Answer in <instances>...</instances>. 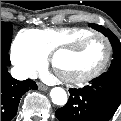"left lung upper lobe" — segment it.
Segmentation results:
<instances>
[{
	"instance_id": "1",
	"label": "left lung upper lobe",
	"mask_w": 121,
	"mask_h": 121,
	"mask_svg": "<svg viewBox=\"0 0 121 121\" xmlns=\"http://www.w3.org/2000/svg\"><path fill=\"white\" fill-rule=\"evenodd\" d=\"M91 27L108 36L114 49V59L112 60L110 71L121 72V44L118 38L109 29L106 30L102 26L91 24Z\"/></svg>"
}]
</instances>
